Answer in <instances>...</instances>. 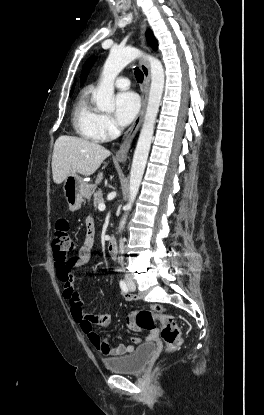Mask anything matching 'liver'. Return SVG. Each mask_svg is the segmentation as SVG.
Segmentation results:
<instances>
[{
    "label": "liver",
    "instance_id": "1",
    "mask_svg": "<svg viewBox=\"0 0 264 415\" xmlns=\"http://www.w3.org/2000/svg\"><path fill=\"white\" fill-rule=\"evenodd\" d=\"M110 151L102 145L74 136L62 135L54 145L52 156V174L56 184H61L71 173L90 176L110 156ZM103 179V173L97 176L95 184Z\"/></svg>",
    "mask_w": 264,
    "mask_h": 415
}]
</instances>
